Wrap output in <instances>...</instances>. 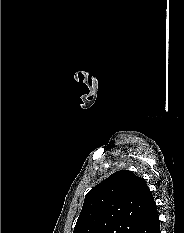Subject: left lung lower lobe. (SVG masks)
<instances>
[{"label": "left lung lower lobe", "instance_id": "1", "mask_svg": "<svg viewBox=\"0 0 184 233\" xmlns=\"http://www.w3.org/2000/svg\"><path fill=\"white\" fill-rule=\"evenodd\" d=\"M138 233H161L159 215L155 201L152 202L144 223Z\"/></svg>", "mask_w": 184, "mask_h": 233}]
</instances>
